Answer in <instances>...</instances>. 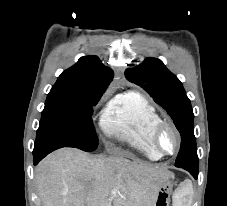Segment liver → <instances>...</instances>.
<instances>
[{
	"mask_svg": "<svg viewBox=\"0 0 227 206\" xmlns=\"http://www.w3.org/2000/svg\"><path fill=\"white\" fill-rule=\"evenodd\" d=\"M168 170L120 156L63 148L35 169L42 206H153Z\"/></svg>",
	"mask_w": 227,
	"mask_h": 206,
	"instance_id": "liver-1",
	"label": "liver"
}]
</instances>
